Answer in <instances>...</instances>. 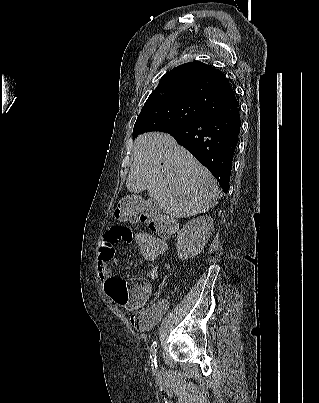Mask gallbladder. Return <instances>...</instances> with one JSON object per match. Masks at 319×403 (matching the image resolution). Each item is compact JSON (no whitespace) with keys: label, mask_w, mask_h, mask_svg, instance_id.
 <instances>
[{"label":"gallbladder","mask_w":319,"mask_h":403,"mask_svg":"<svg viewBox=\"0 0 319 403\" xmlns=\"http://www.w3.org/2000/svg\"><path fill=\"white\" fill-rule=\"evenodd\" d=\"M142 209L147 210L149 212L151 210H154V211H159L160 210L159 206L155 202H153L152 200L145 201Z\"/></svg>","instance_id":"1"}]
</instances>
